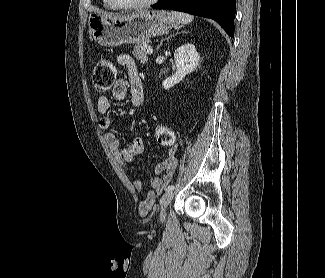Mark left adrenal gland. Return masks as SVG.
<instances>
[{
	"label": "left adrenal gland",
	"mask_w": 325,
	"mask_h": 278,
	"mask_svg": "<svg viewBox=\"0 0 325 278\" xmlns=\"http://www.w3.org/2000/svg\"><path fill=\"white\" fill-rule=\"evenodd\" d=\"M179 33H183V32H177V33H175L174 35H170L166 40L170 39L171 37H173V36H175V35H177V34H179ZM162 42H163V41H162ZM162 42H161L160 45L157 47V50H158L159 47L162 45Z\"/></svg>",
	"instance_id": "1"
}]
</instances>
